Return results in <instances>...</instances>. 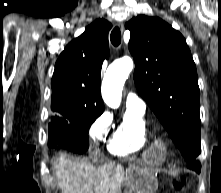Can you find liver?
<instances>
[{"label": "liver", "instance_id": "liver-1", "mask_svg": "<svg viewBox=\"0 0 221 193\" xmlns=\"http://www.w3.org/2000/svg\"><path fill=\"white\" fill-rule=\"evenodd\" d=\"M54 176L61 193H119L124 170L113 162L95 167L86 159L71 160L66 154L54 160Z\"/></svg>", "mask_w": 221, "mask_h": 193}]
</instances>
